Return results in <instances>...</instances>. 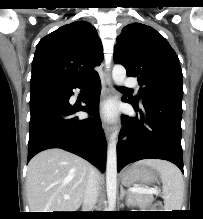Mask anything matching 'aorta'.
I'll return each mask as SVG.
<instances>
[{"mask_svg":"<svg viewBox=\"0 0 203 219\" xmlns=\"http://www.w3.org/2000/svg\"><path fill=\"white\" fill-rule=\"evenodd\" d=\"M112 78L117 86H121L126 78V70L122 65H115ZM117 185V133H113L107 149L106 188L109 200L116 197Z\"/></svg>","mask_w":203,"mask_h":219,"instance_id":"762f6f07","label":"aorta"}]
</instances>
